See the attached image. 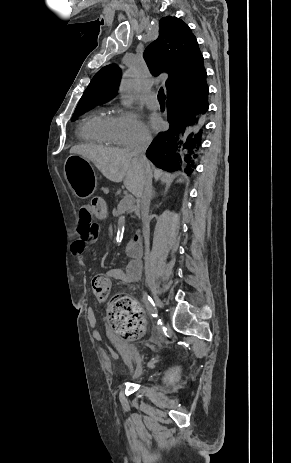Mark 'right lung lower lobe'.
<instances>
[{
    "instance_id": "1",
    "label": "right lung lower lobe",
    "mask_w": 291,
    "mask_h": 463,
    "mask_svg": "<svg viewBox=\"0 0 291 463\" xmlns=\"http://www.w3.org/2000/svg\"><path fill=\"white\" fill-rule=\"evenodd\" d=\"M202 76L195 90L168 95L169 129L160 133L146 151L147 158L161 169L171 172L183 169L191 174L196 168L209 108L206 72Z\"/></svg>"
}]
</instances>
